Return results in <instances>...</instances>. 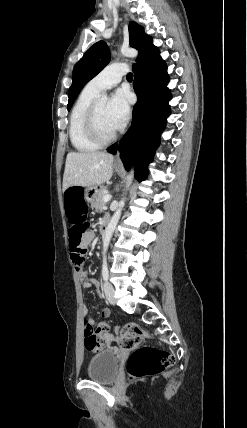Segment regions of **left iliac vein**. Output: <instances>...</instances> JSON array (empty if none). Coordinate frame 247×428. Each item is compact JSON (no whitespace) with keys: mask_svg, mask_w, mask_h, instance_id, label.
I'll list each match as a JSON object with an SVG mask.
<instances>
[{"mask_svg":"<svg viewBox=\"0 0 247 428\" xmlns=\"http://www.w3.org/2000/svg\"><path fill=\"white\" fill-rule=\"evenodd\" d=\"M104 294L106 299L108 300L109 303H111L112 305L115 304V298H114V288L113 286L109 283V282H105L104 286Z\"/></svg>","mask_w":247,"mask_h":428,"instance_id":"left-iliac-vein-1","label":"left iliac vein"}]
</instances>
